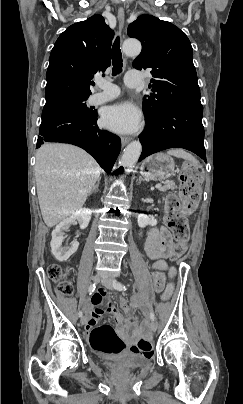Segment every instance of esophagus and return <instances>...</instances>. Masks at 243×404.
<instances>
[{
	"label": "esophagus",
	"instance_id": "obj_1",
	"mask_svg": "<svg viewBox=\"0 0 243 404\" xmlns=\"http://www.w3.org/2000/svg\"><path fill=\"white\" fill-rule=\"evenodd\" d=\"M117 18H118L119 30L122 32L124 24H125L124 8H122V7L118 8ZM130 140L131 139L129 137H122L121 138L122 146L124 147L126 144H128V142H130Z\"/></svg>",
	"mask_w": 243,
	"mask_h": 404
}]
</instances>
